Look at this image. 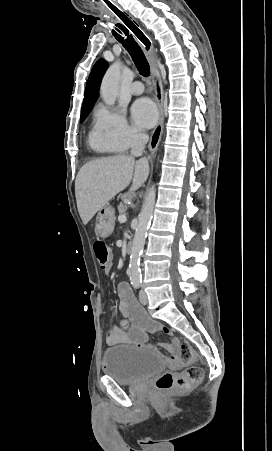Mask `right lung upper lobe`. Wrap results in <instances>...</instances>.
<instances>
[{
  "mask_svg": "<svg viewBox=\"0 0 272 451\" xmlns=\"http://www.w3.org/2000/svg\"><path fill=\"white\" fill-rule=\"evenodd\" d=\"M108 67L104 59H100L94 65L85 88L84 101L82 108H92L98 98L102 77Z\"/></svg>",
  "mask_w": 272,
  "mask_h": 451,
  "instance_id": "cb5924a9",
  "label": "right lung upper lobe"
}]
</instances>
